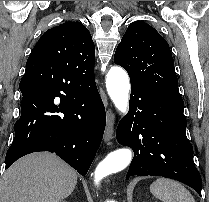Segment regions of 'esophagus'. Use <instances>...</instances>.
<instances>
[{
    "mask_svg": "<svg viewBox=\"0 0 209 202\" xmlns=\"http://www.w3.org/2000/svg\"><path fill=\"white\" fill-rule=\"evenodd\" d=\"M113 132H114V114L112 111H109L107 116V123L105 127V134H104V140L106 143H108L111 140Z\"/></svg>",
    "mask_w": 209,
    "mask_h": 202,
    "instance_id": "1",
    "label": "esophagus"
}]
</instances>
